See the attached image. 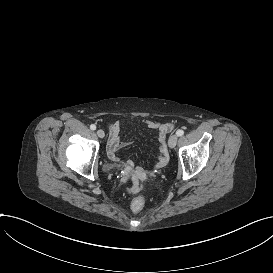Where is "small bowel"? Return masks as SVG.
Masks as SVG:
<instances>
[{
    "label": "small bowel",
    "instance_id": "obj_1",
    "mask_svg": "<svg viewBox=\"0 0 273 273\" xmlns=\"http://www.w3.org/2000/svg\"><path fill=\"white\" fill-rule=\"evenodd\" d=\"M146 125L149 129L155 130L157 136V140L160 143V147L157 150V163L156 167H161L167 164L168 159V150H167V143L164 142V136L162 135L163 132H167L170 128L171 125L168 123H159L156 121H147ZM122 128V123L120 120H115L111 122L108 125V144H107V156L108 158L114 162L118 163L120 161L118 157V151L122 149L125 146V143L120 141V132ZM163 141V142H162ZM124 171L122 173V178L124 180H127L130 176L131 173H135L142 181L140 182V187L144 190L147 191L149 189V186L147 185V182L145 181L147 177L149 176V173L147 171L143 172V169L139 166H136L133 161H126L123 163ZM130 171H129V170ZM121 192L126 196V197H133L135 195V192L133 190H128L126 187H123L121 189Z\"/></svg>",
    "mask_w": 273,
    "mask_h": 273
}]
</instances>
